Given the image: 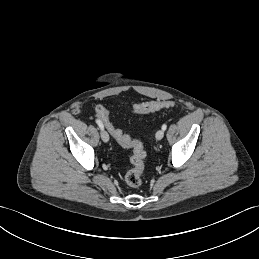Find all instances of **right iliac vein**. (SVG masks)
<instances>
[{"instance_id": "right-iliac-vein-1", "label": "right iliac vein", "mask_w": 259, "mask_h": 259, "mask_svg": "<svg viewBox=\"0 0 259 259\" xmlns=\"http://www.w3.org/2000/svg\"><path fill=\"white\" fill-rule=\"evenodd\" d=\"M101 138L104 142H108L109 141V135L105 130L101 131Z\"/></svg>"}]
</instances>
